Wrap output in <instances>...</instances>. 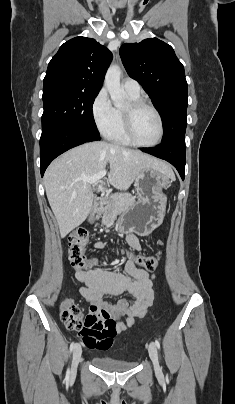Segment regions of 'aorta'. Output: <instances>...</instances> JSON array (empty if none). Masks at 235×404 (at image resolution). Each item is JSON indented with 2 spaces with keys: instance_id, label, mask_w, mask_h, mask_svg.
I'll return each mask as SVG.
<instances>
[{
  "instance_id": "1",
  "label": "aorta",
  "mask_w": 235,
  "mask_h": 404,
  "mask_svg": "<svg viewBox=\"0 0 235 404\" xmlns=\"http://www.w3.org/2000/svg\"><path fill=\"white\" fill-rule=\"evenodd\" d=\"M121 70L118 65H111L105 75V86L115 107H122L125 103V92L120 85Z\"/></svg>"
}]
</instances>
